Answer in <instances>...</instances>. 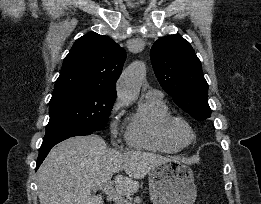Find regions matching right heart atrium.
I'll list each match as a JSON object with an SVG mask.
<instances>
[{"label": "right heart atrium", "mask_w": 261, "mask_h": 204, "mask_svg": "<svg viewBox=\"0 0 261 204\" xmlns=\"http://www.w3.org/2000/svg\"><path fill=\"white\" fill-rule=\"evenodd\" d=\"M123 108V103L121 100L117 99L111 106L109 112V131L111 138L114 140H119L123 136V127L119 125L116 121V115Z\"/></svg>", "instance_id": "1"}]
</instances>
